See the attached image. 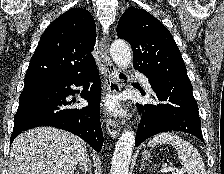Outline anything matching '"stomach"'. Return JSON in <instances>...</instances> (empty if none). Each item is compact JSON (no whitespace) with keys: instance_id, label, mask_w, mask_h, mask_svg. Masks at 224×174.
Returning <instances> with one entry per match:
<instances>
[{"instance_id":"stomach-1","label":"stomach","mask_w":224,"mask_h":174,"mask_svg":"<svg viewBox=\"0 0 224 174\" xmlns=\"http://www.w3.org/2000/svg\"><path fill=\"white\" fill-rule=\"evenodd\" d=\"M142 155H143V157H145V158L150 157V153H149L148 151H144Z\"/></svg>"}]
</instances>
